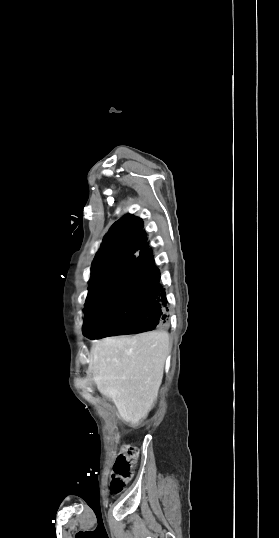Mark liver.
Listing matches in <instances>:
<instances>
[{"label":"liver","instance_id":"obj_1","mask_svg":"<svg viewBox=\"0 0 279 538\" xmlns=\"http://www.w3.org/2000/svg\"><path fill=\"white\" fill-rule=\"evenodd\" d=\"M169 334L153 330L94 342V382L129 424L147 418L162 384Z\"/></svg>","mask_w":279,"mask_h":538}]
</instances>
